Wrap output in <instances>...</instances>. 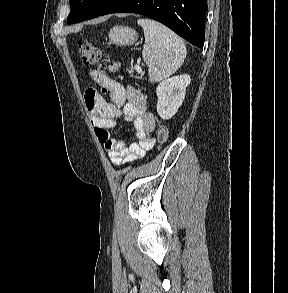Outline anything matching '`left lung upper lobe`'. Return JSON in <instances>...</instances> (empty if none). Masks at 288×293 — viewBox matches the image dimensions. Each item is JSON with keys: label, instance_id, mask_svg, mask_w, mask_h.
<instances>
[{"label": "left lung upper lobe", "instance_id": "1", "mask_svg": "<svg viewBox=\"0 0 288 293\" xmlns=\"http://www.w3.org/2000/svg\"><path fill=\"white\" fill-rule=\"evenodd\" d=\"M116 0H69L71 11L67 23H77L82 20L100 16Z\"/></svg>", "mask_w": 288, "mask_h": 293}]
</instances>
